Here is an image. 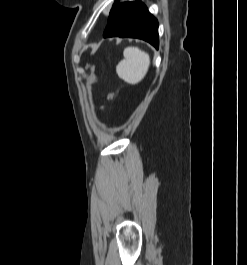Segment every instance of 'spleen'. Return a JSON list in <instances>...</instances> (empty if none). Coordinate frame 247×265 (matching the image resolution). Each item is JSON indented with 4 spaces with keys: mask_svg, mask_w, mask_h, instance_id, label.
<instances>
[{
    "mask_svg": "<svg viewBox=\"0 0 247 265\" xmlns=\"http://www.w3.org/2000/svg\"><path fill=\"white\" fill-rule=\"evenodd\" d=\"M123 55L124 59L118 63L116 73L125 82L135 85L145 77L150 57L137 47L125 48Z\"/></svg>",
    "mask_w": 247,
    "mask_h": 265,
    "instance_id": "spleen-1",
    "label": "spleen"
}]
</instances>
